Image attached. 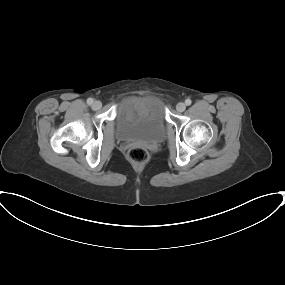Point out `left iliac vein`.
Here are the masks:
<instances>
[{
  "mask_svg": "<svg viewBox=\"0 0 285 285\" xmlns=\"http://www.w3.org/2000/svg\"><path fill=\"white\" fill-rule=\"evenodd\" d=\"M176 109L178 112H183L186 109V105L183 102H179L176 105Z\"/></svg>",
  "mask_w": 285,
  "mask_h": 285,
  "instance_id": "left-iliac-vein-1",
  "label": "left iliac vein"
}]
</instances>
